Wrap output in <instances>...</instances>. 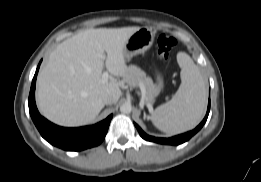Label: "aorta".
Segmentation results:
<instances>
[{"mask_svg":"<svg viewBox=\"0 0 261 182\" xmlns=\"http://www.w3.org/2000/svg\"><path fill=\"white\" fill-rule=\"evenodd\" d=\"M132 111V106L129 103H125L120 106V112L123 114H129Z\"/></svg>","mask_w":261,"mask_h":182,"instance_id":"aorta-1","label":"aorta"}]
</instances>
